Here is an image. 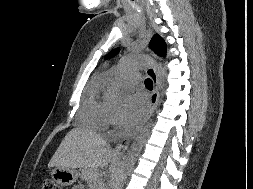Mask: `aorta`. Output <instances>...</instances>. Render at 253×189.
<instances>
[{"label":"aorta","instance_id":"obj_1","mask_svg":"<svg viewBox=\"0 0 253 189\" xmlns=\"http://www.w3.org/2000/svg\"><path fill=\"white\" fill-rule=\"evenodd\" d=\"M153 63V60L148 56H138V57H123L118 65L119 71H126L128 69L136 68L142 69ZM157 70L162 77H166V71L157 65ZM104 100L109 107L118 108L124 103L123 93L114 85L109 84L105 89ZM153 123L150 121L146 127L141 131V133L135 138L131 144L127 156L124 161L122 172L113 184V189H121V181L123 178L133 169L135 162L142 150V147L149 135L150 128Z\"/></svg>","mask_w":253,"mask_h":189}]
</instances>
